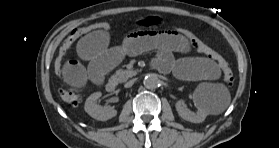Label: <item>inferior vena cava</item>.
I'll return each instance as SVG.
<instances>
[{
  "label": "inferior vena cava",
  "mask_w": 279,
  "mask_h": 148,
  "mask_svg": "<svg viewBox=\"0 0 279 148\" xmlns=\"http://www.w3.org/2000/svg\"><path fill=\"white\" fill-rule=\"evenodd\" d=\"M134 81L135 80H130V81H128L126 84H125V87H131L133 84H134Z\"/></svg>",
  "instance_id": "602c4592"
}]
</instances>
